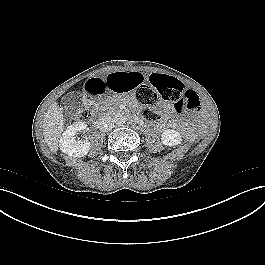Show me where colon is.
Masks as SVG:
<instances>
[{"label":"colon","instance_id":"obj_1","mask_svg":"<svg viewBox=\"0 0 265 265\" xmlns=\"http://www.w3.org/2000/svg\"><path fill=\"white\" fill-rule=\"evenodd\" d=\"M150 85H141L136 90V99L142 106V116L149 122H156L159 117L157 110L162 103L169 102L179 113H193L201 108L198 94L188 89L180 80L166 77L156 71L150 75ZM92 112L85 110L81 114L84 120L90 119Z\"/></svg>","mask_w":265,"mask_h":265}]
</instances>
